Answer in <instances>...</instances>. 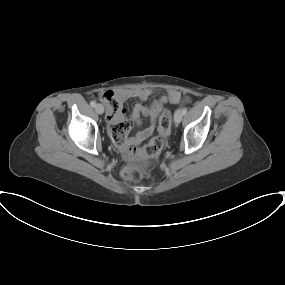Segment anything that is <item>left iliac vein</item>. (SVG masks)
I'll return each mask as SVG.
<instances>
[{
    "label": "left iliac vein",
    "instance_id": "obj_1",
    "mask_svg": "<svg viewBox=\"0 0 285 285\" xmlns=\"http://www.w3.org/2000/svg\"><path fill=\"white\" fill-rule=\"evenodd\" d=\"M183 119V113L182 110L178 109L176 110L175 114H174V121L176 124H179Z\"/></svg>",
    "mask_w": 285,
    "mask_h": 285
}]
</instances>
